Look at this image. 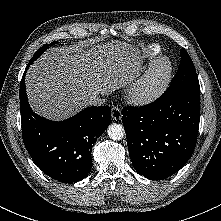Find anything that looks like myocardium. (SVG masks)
<instances>
[{"mask_svg":"<svg viewBox=\"0 0 221 221\" xmlns=\"http://www.w3.org/2000/svg\"><path fill=\"white\" fill-rule=\"evenodd\" d=\"M173 72V65L167 56L158 57L129 90L130 99L141 105L157 100L167 89Z\"/></svg>","mask_w":221,"mask_h":221,"instance_id":"f54148a6","label":"myocardium"}]
</instances>
